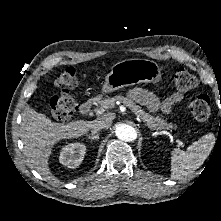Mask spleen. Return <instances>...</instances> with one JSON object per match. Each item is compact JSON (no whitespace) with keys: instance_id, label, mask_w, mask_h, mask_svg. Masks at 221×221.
I'll use <instances>...</instances> for the list:
<instances>
[{"instance_id":"3e777b00","label":"spleen","mask_w":221,"mask_h":221,"mask_svg":"<svg viewBox=\"0 0 221 221\" xmlns=\"http://www.w3.org/2000/svg\"><path fill=\"white\" fill-rule=\"evenodd\" d=\"M215 145L213 134H206L193 142L187 151L175 148L171 152V178L182 179L197 170L207 159Z\"/></svg>"}]
</instances>
